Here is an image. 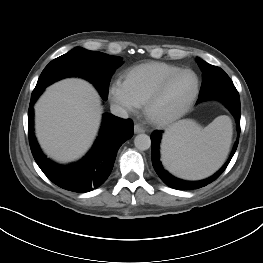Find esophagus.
Segmentation results:
<instances>
[{"label":"esophagus","mask_w":263,"mask_h":263,"mask_svg":"<svg viewBox=\"0 0 263 263\" xmlns=\"http://www.w3.org/2000/svg\"><path fill=\"white\" fill-rule=\"evenodd\" d=\"M145 129L139 125V124H135L134 125V133L138 134V133H144Z\"/></svg>","instance_id":"obj_1"}]
</instances>
